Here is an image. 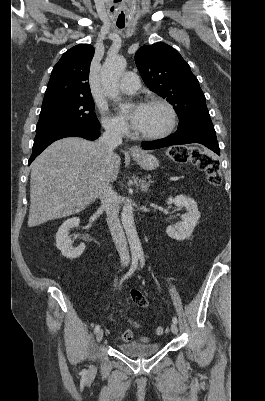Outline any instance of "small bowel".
<instances>
[{
  "label": "small bowel",
  "instance_id": "obj_1",
  "mask_svg": "<svg viewBox=\"0 0 265 401\" xmlns=\"http://www.w3.org/2000/svg\"><path fill=\"white\" fill-rule=\"evenodd\" d=\"M130 294H131L132 299H133L139 306H141V307H147L148 303H147L146 299L142 296V294H141L139 291H137V290H131ZM127 332H128V335H127V336H124V335L122 334L121 337H120L121 340H122L123 342H129V341H131V340L133 339V334H132V332L129 331V330H127ZM140 340L143 341V342H147V341H148V339L145 338V337H142Z\"/></svg>",
  "mask_w": 265,
  "mask_h": 401
}]
</instances>
